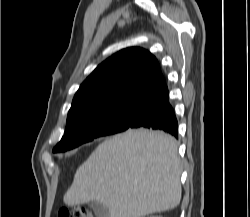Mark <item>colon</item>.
Listing matches in <instances>:
<instances>
[{
	"label": "colon",
	"instance_id": "obj_1",
	"mask_svg": "<svg viewBox=\"0 0 250 217\" xmlns=\"http://www.w3.org/2000/svg\"><path fill=\"white\" fill-rule=\"evenodd\" d=\"M58 217H93L92 214L84 208L62 209L58 213Z\"/></svg>",
	"mask_w": 250,
	"mask_h": 217
}]
</instances>
